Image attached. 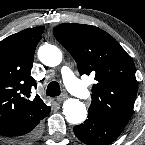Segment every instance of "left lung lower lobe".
Returning a JSON list of instances; mask_svg holds the SVG:
<instances>
[{
    "instance_id": "0a47b994",
    "label": "left lung lower lobe",
    "mask_w": 145,
    "mask_h": 145,
    "mask_svg": "<svg viewBox=\"0 0 145 145\" xmlns=\"http://www.w3.org/2000/svg\"><path fill=\"white\" fill-rule=\"evenodd\" d=\"M123 129L124 126L88 114V119L83 124L74 127V133L85 144L108 145L121 134Z\"/></svg>"
}]
</instances>
